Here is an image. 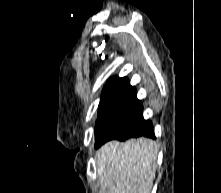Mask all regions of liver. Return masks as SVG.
I'll return each instance as SVG.
<instances>
[{
	"instance_id": "1",
	"label": "liver",
	"mask_w": 221,
	"mask_h": 193,
	"mask_svg": "<svg viewBox=\"0 0 221 193\" xmlns=\"http://www.w3.org/2000/svg\"><path fill=\"white\" fill-rule=\"evenodd\" d=\"M158 146L149 138L111 141L96 153L97 174L106 193H150Z\"/></svg>"
}]
</instances>
